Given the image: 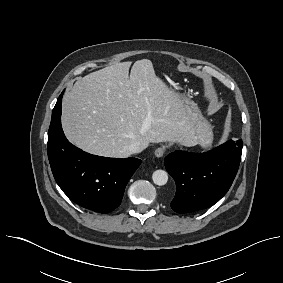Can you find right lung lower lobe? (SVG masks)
<instances>
[{"label":"right lung lower lobe","mask_w":283,"mask_h":283,"mask_svg":"<svg viewBox=\"0 0 283 283\" xmlns=\"http://www.w3.org/2000/svg\"><path fill=\"white\" fill-rule=\"evenodd\" d=\"M62 95L63 92L53 109L48 132L52 173L72 201L99 213H109L120 205L125 187L141 160L91 155L72 145L61 127Z\"/></svg>","instance_id":"obj_1"}]
</instances>
